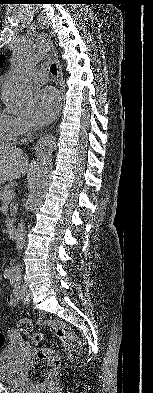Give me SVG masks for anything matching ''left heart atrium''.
Listing matches in <instances>:
<instances>
[{"mask_svg": "<svg viewBox=\"0 0 153 393\" xmlns=\"http://www.w3.org/2000/svg\"><path fill=\"white\" fill-rule=\"evenodd\" d=\"M60 107V95L52 87L40 90L34 100L33 119L39 126H45L56 116Z\"/></svg>", "mask_w": 153, "mask_h": 393, "instance_id": "1", "label": "left heart atrium"}]
</instances>
